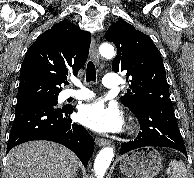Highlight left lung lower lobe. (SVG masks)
Instances as JSON below:
<instances>
[{
	"label": "left lung lower lobe",
	"instance_id": "left-lung-lower-lobe-1",
	"mask_svg": "<svg viewBox=\"0 0 194 178\" xmlns=\"http://www.w3.org/2000/svg\"><path fill=\"white\" fill-rule=\"evenodd\" d=\"M140 123L137 138L122 143L120 154L148 146L170 147L187 156L171 100L142 101L133 112Z\"/></svg>",
	"mask_w": 194,
	"mask_h": 178
}]
</instances>
